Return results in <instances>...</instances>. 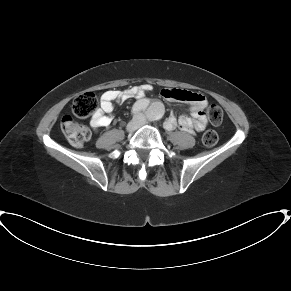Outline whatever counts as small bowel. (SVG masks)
Returning a JSON list of instances; mask_svg holds the SVG:
<instances>
[{
	"instance_id": "c3829d8e",
	"label": "small bowel",
	"mask_w": 291,
	"mask_h": 291,
	"mask_svg": "<svg viewBox=\"0 0 291 291\" xmlns=\"http://www.w3.org/2000/svg\"><path fill=\"white\" fill-rule=\"evenodd\" d=\"M151 84H142L123 91L110 90L101 96V108L91 118L89 124L94 130L100 128H110L112 125L111 113L114 109L113 102H123L132 97H137L138 101L134 105L136 109L143 110L148 107L149 102L144 98L145 94L152 90ZM160 96L166 100H182L191 104V117L181 116L179 119L174 114H170L165 120L164 127L168 131L181 129L190 134L202 132L207 127V115L205 106L207 100L204 95L187 90L162 88ZM158 105V104H156Z\"/></svg>"
}]
</instances>
